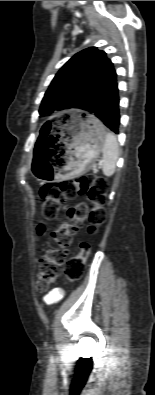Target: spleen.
<instances>
[{
	"mask_svg": "<svg viewBox=\"0 0 155 395\" xmlns=\"http://www.w3.org/2000/svg\"><path fill=\"white\" fill-rule=\"evenodd\" d=\"M119 146L114 134L108 132L105 135V142L102 147V170L104 175L112 176L115 172L118 160Z\"/></svg>",
	"mask_w": 155,
	"mask_h": 395,
	"instance_id": "3e777b00",
	"label": "spleen"
}]
</instances>
